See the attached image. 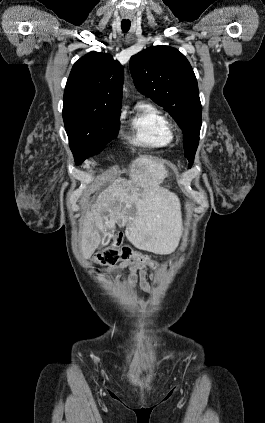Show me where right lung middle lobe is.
<instances>
[{"label": "right lung middle lobe", "mask_w": 265, "mask_h": 423, "mask_svg": "<svg viewBox=\"0 0 265 423\" xmlns=\"http://www.w3.org/2000/svg\"><path fill=\"white\" fill-rule=\"evenodd\" d=\"M120 113L93 108L63 106V120L76 164L98 154L118 135Z\"/></svg>", "instance_id": "obj_1"}]
</instances>
